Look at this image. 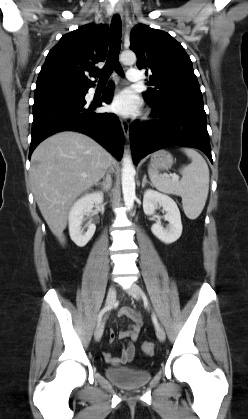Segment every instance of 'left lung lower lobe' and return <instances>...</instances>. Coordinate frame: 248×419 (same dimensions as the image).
I'll return each mask as SVG.
<instances>
[{
	"instance_id": "0a47b994",
	"label": "left lung lower lobe",
	"mask_w": 248,
	"mask_h": 419,
	"mask_svg": "<svg viewBox=\"0 0 248 419\" xmlns=\"http://www.w3.org/2000/svg\"><path fill=\"white\" fill-rule=\"evenodd\" d=\"M152 108L157 120L144 124L135 121L130 126L134 164L147 154L169 146L200 149L212 162L203 102H168Z\"/></svg>"
}]
</instances>
